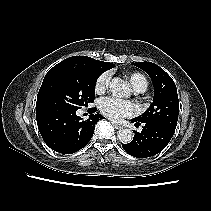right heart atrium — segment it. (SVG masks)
Returning <instances> with one entry per match:
<instances>
[{
	"label": "right heart atrium",
	"mask_w": 211,
	"mask_h": 211,
	"mask_svg": "<svg viewBox=\"0 0 211 211\" xmlns=\"http://www.w3.org/2000/svg\"><path fill=\"white\" fill-rule=\"evenodd\" d=\"M110 78H111V76L108 72H105L98 77L96 84H95V91L98 94H101L106 91V89L109 85V82H110Z\"/></svg>",
	"instance_id": "obj_1"
}]
</instances>
